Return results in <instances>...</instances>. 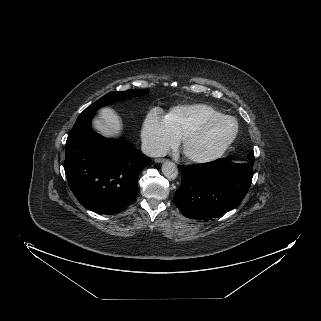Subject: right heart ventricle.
Masks as SVG:
<instances>
[{"label": "right heart ventricle", "mask_w": 321, "mask_h": 321, "mask_svg": "<svg viewBox=\"0 0 321 321\" xmlns=\"http://www.w3.org/2000/svg\"><path fill=\"white\" fill-rule=\"evenodd\" d=\"M218 115H222V112L214 106L194 103L173 107L163 120L169 132L178 140L201 121Z\"/></svg>", "instance_id": "e07e8e85"}]
</instances>
